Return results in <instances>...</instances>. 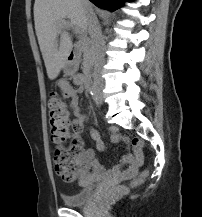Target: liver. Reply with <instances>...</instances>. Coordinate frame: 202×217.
Wrapping results in <instances>:
<instances>
[{"mask_svg": "<svg viewBox=\"0 0 202 217\" xmlns=\"http://www.w3.org/2000/svg\"><path fill=\"white\" fill-rule=\"evenodd\" d=\"M89 6L92 9L90 3ZM65 19H69L81 32L87 31L88 16L81 0H35V30L47 75L51 80L59 75L73 47L71 37L63 31L62 22ZM58 34L61 35L59 44Z\"/></svg>", "mask_w": 202, "mask_h": 217, "instance_id": "obj_1", "label": "liver"}]
</instances>
